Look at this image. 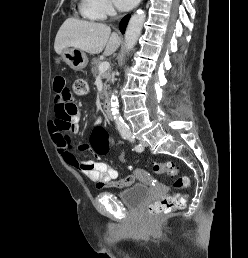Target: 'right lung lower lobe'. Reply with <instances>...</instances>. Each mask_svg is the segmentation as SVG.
<instances>
[{
    "label": "right lung lower lobe",
    "instance_id": "obj_1",
    "mask_svg": "<svg viewBox=\"0 0 248 258\" xmlns=\"http://www.w3.org/2000/svg\"><path fill=\"white\" fill-rule=\"evenodd\" d=\"M130 15H126L119 24V29L124 33L125 27L129 21Z\"/></svg>",
    "mask_w": 248,
    "mask_h": 258
}]
</instances>
